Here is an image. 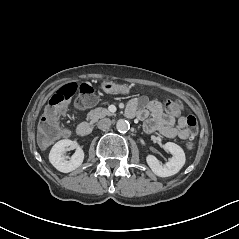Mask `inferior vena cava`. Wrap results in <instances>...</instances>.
Listing matches in <instances>:
<instances>
[{
	"instance_id": "602c4592",
	"label": "inferior vena cava",
	"mask_w": 239,
	"mask_h": 239,
	"mask_svg": "<svg viewBox=\"0 0 239 239\" xmlns=\"http://www.w3.org/2000/svg\"><path fill=\"white\" fill-rule=\"evenodd\" d=\"M97 126L99 129H108L111 126V120L109 118H103L98 121Z\"/></svg>"
}]
</instances>
